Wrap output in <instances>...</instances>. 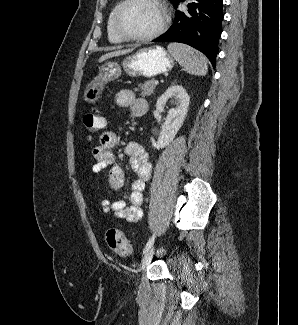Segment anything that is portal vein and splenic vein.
Here are the masks:
<instances>
[{
  "label": "portal vein and splenic vein",
  "mask_w": 298,
  "mask_h": 325,
  "mask_svg": "<svg viewBox=\"0 0 298 325\" xmlns=\"http://www.w3.org/2000/svg\"><path fill=\"white\" fill-rule=\"evenodd\" d=\"M154 84H159V80H154Z\"/></svg>",
  "instance_id": "portal-vein-and-splenic-vein-1"
}]
</instances>
